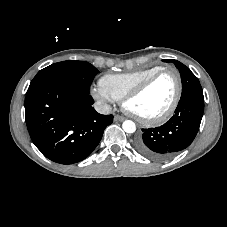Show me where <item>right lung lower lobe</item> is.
<instances>
[{"label": "right lung lower lobe", "instance_id": "98d812e1", "mask_svg": "<svg viewBox=\"0 0 227 227\" xmlns=\"http://www.w3.org/2000/svg\"><path fill=\"white\" fill-rule=\"evenodd\" d=\"M92 104L88 92L65 83L49 82L28 89L26 124L44 156L73 164L92 153L113 121V115L97 113Z\"/></svg>", "mask_w": 227, "mask_h": 227}]
</instances>
